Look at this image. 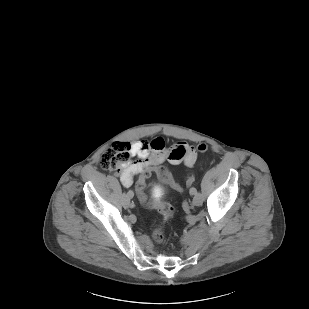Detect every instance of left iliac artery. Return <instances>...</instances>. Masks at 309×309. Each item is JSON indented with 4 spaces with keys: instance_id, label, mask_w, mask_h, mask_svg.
I'll use <instances>...</instances> for the list:
<instances>
[{
    "instance_id": "44dca946",
    "label": "left iliac artery",
    "mask_w": 309,
    "mask_h": 309,
    "mask_svg": "<svg viewBox=\"0 0 309 309\" xmlns=\"http://www.w3.org/2000/svg\"><path fill=\"white\" fill-rule=\"evenodd\" d=\"M197 193V190L195 188L190 189V194L195 195Z\"/></svg>"
}]
</instances>
